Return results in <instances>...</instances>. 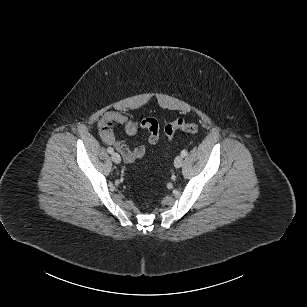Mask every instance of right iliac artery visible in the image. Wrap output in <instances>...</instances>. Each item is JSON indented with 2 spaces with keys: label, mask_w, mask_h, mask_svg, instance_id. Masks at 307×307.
<instances>
[{
  "label": "right iliac artery",
  "mask_w": 307,
  "mask_h": 307,
  "mask_svg": "<svg viewBox=\"0 0 307 307\" xmlns=\"http://www.w3.org/2000/svg\"><path fill=\"white\" fill-rule=\"evenodd\" d=\"M107 151H108L110 154H112V153L114 152V149H113L112 147H108V148H107Z\"/></svg>",
  "instance_id": "1"
}]
</instances>
